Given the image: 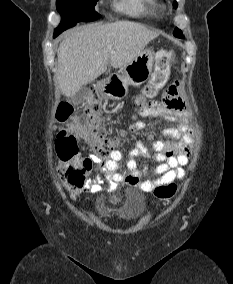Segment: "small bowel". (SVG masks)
<instances>
[{
    "instance_id": "c3829d8e",
    "label": "small bowel",
    "mask_w": 233,
    "mask_h": 284,
    "mask_svg": "<svg viewBox=\"0 0 233 284\" xmlns=\"http://www.w3.org/2000/svg\"><path fill=\"white\" fill-rule=\"evenodd\" d=\"M138 113L143 117L165 118L178 123L177 127L167 128L163 132L165 137L173 138L177 140L176 142L156 140L152 144V149L155 152L153 158L158 163L152 171L154 179H142L148 171V167H140L136 158L148 155L149 150L141 142H138L136 147L130 151L129 158L124 162L123 170L120 164L124 156L119 150L112 151L106 159H101L96 155L90 156L89 159L96 164L99 176L88 180L81 191L97 192L126 182L129 185L140 187L145 192H151L158 186L184 178V168L192 154V133L186 119L187 103L180 93L179 82L168 86L161 100L140 105ZM133 127L142 130L146 125L141 121H136ZM76 131L81 138H86L87 132L84 127L77 126ZM119 132L124 134V131ZM148 138L153 140L152 135H149ZM105 183L108 185L106 186Z\"/></svg>"
}]
</instances>
